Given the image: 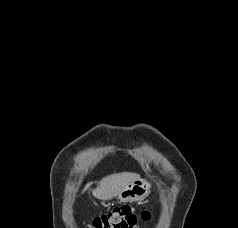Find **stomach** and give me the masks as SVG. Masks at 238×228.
I'll list each match as a JSON object with an SVG mask.
<instances>
[{
    "label": "stomach",
    "instance_id": "obj_1",
    "mask_svg": "<svg viewBox=\"0 0 238 228\" xmlns=\"http://www.w3.org/2000/svg\"><path fill=\"white\" fill-rule=\"evenodd\" d=\"M151 184L142 178H138L126 185L117 196L121 202H135L143 199L150 193Z\"/></svg>",
    "mask_w": 238,
    "mask_h": 228
}]
</instances>
